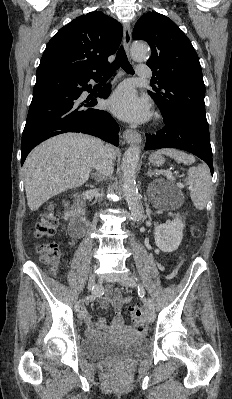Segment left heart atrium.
I'll return each mask as SVG.
<instances>
[{
	"mask_svg": "<svg viewBox=\"0 0 232 399\" xmlns=\"http://www.w3.org/2000/svg\"><path fill=\"white\" fill-rule=\"evenodd\" d=\"M108 108L114 116L130 123H144L151 117L148 101L129 87H120L109 100Z\"/></svg>",
	"mask_w": 232,
	"mask_h": 399,
	"instance_id": "39dd6f15",
	"label": "left heart atrium"
}]
</instances>
